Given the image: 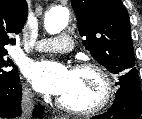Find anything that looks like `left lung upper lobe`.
<instances>
[{"mask_svg": "<svg viewBox=\"0 0 142 119\" xmlns=\"http://www.w3.org/2000/svg\"><path fill=\"white\" fill-rule=\"evenodd\" d=\"M78 31L91 55L116 74L123 87L140 85L128 12L121 0H72Z\"/></svg>", "mask_w": 142, "mask_h": 119, "instance_id": "5c2ea615", "label": "left lung upper lobe"}]
</instances>
